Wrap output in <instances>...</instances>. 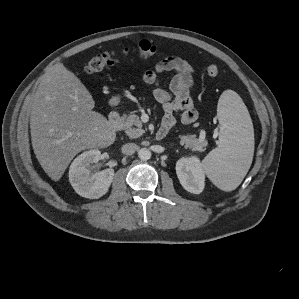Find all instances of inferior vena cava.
I'll use <instances>...</instances> for the list:
<instances>
[{"label": "inferior vena cava", "instance_id": "obj_1", "mask_svg": "<svg viewBox=\"0 0 299 299\" xmlns=\"http://www.w3.org/2000/svg\"><path fill=\"white\" fill-rule=\"evenodd\" d=\"M137 148V145L134 143H126L122 146V153L126 155H132Z\"/></svg>", "mask_w": 299, "mask_h": 299}]
</instances>
